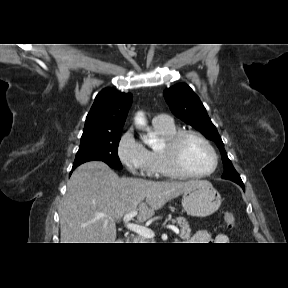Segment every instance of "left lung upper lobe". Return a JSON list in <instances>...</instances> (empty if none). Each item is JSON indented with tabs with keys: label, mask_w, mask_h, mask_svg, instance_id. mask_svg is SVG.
<instances>
[{
	"label": "left lung upper lobe",
	"mask_w": 288,
	"mask_h": 288,
	"mask_svg": "<svg viewBox=\"0 0 288 288\" xmlns=\"http://www.w3.org/2000/svg\"><path fill=\"white\" fill-rule=\"evenodd\" d=\"M163 94L172 113L176 117L199 130L203 135L216 143L220 149L224 164L222 178L243 185L239 174L226 154L224 144L216 127L211 122L205 107L194 91L187 84L181 83L165 89Z\"/></svg>",
	"instance_id": "obj_1"
}]
</instances>
